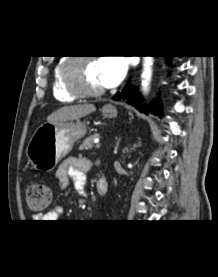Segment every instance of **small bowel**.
Returning a JSON list of instances; mask_svg holds the SVG:
<instances>
[{"label":"small bowel","instance_id":"c3829d8e","mask_svg":"<svg viewBox=\"0 0 218 277\" xmlns=\"http://www.w3.org/2000/svg\"><path fill=\"white\" fill-rule=\"evenodd\" d=\"M94 162L86 158H68L64 160L56 173L58 182L62 188L66 187L72 180L76 191L82 195H86L87 172L94 166ZM64 213L62 206H56L52 210L43 215H35L39 222H55Z\"/></svg>","mask_w":218,"mask_h":277}]
</instances>
